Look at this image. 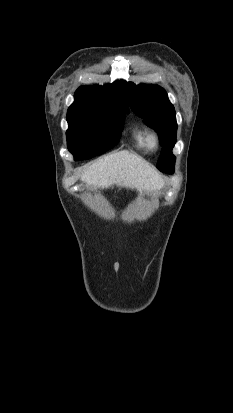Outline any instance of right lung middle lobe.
Wrapping results in <instances>:
<instances>
[{"mask_svg": "<svg viewBox=\"0 0 233 413\" xmlns=\"http://www.w3.org/2000/svg\"><path fill=\"white\" fill-rule=\"evenodd\" d=\"M128 111L122 103L75 99L68 108L66 131L68 149L75 159H90L113 148Z\"/></svg>", "mask_w": 233, "mask_h": 413, "instance_id": "1", "label": "right lung middle lobe"}]
</instances>
